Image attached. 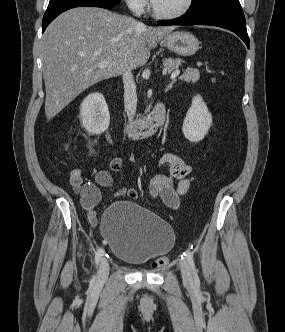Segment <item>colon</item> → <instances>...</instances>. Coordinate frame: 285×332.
<instances>
[{
	"label": "colon",
	"mask_w": 285,
	"mask_h": 332,
	"mask_svg": "<svg viewBox=\"0 0 285 332\" xmlns=\"http://www.w3.org/2000/svg\"><path fill=\"white\" fill-rule=\"evenodd\" d=\"M167 263H168V258L167 257H161V258H158L157 260H155L153 265L155 267H161V266H163Z\"/></svg>",
	"instance_id": "colon-1"
}]
</instances>
